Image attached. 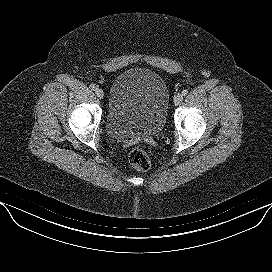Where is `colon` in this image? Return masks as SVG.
Listing matches in <instances>:
<instances>
[{"mask_svg":"<svg viewBox=\"0 0 272 272\" xmlns=\"http://www.w3.org/2000/svg\"><path fill=\"white\" fill-rule=\"evenodd\" d=\"M130 164L138 171H147L151 167V160L148 154L140 149L134 148L128 154Z\"/></svg>","mask_w":272,"mask_h":272,"instance_id":"colon-1","label":"colon"}]
</instances>
